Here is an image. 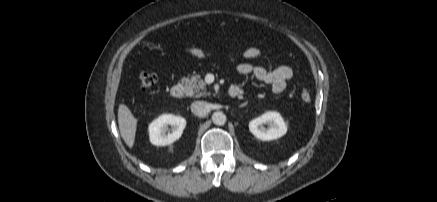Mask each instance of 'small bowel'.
<instances>
[{"label":"small bowel","mask_w":437,"mask_h":202,"mask_svg":"<svg viewBox=\"0 0 437 202\" xmlns=\"http://www.w3.org/2000/svg\"><path fill=\"white\" fill-rule=\"evenodd\" d=\"M184 52L198 59H205L212 55L211 52L197 47H187L184 49ZM262 55L263 52L259 48L250 47L246 49L243 53L245 61L239 63L237 66L238 73L242 76H252L257 81L268 84L275 94H280L286 89L287 82L293 77V71L286 65L266 69L262 66H255L249 62V60L259 58ZM234 87H237L242 92L241 87Z\"/></svg>","instance_id":"c3829d8e"}]
</instances>
